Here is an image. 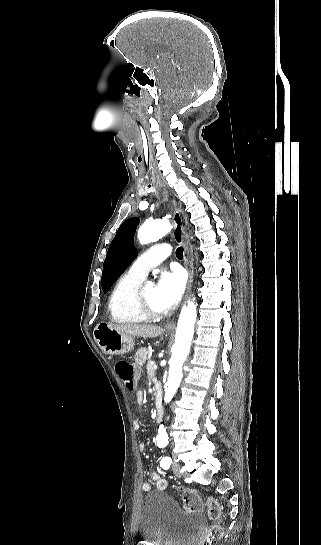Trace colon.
I'll return each instance as SVG.
<instances>
[{
	"mask_svg": "<svg viewBox=\"0 0 321 545\" xmlns=\"http://www.w3.org/2000/svg\"><path fill=\"white\" fill-rule=\"evenodd\" d=\"M115 371L120 379L123 381L125 387L128 390H132L134 388V370L132 365L125 360H120L115 364ZM181 491L183 503L188 510L195 512H199L202 510V502L195 491L188 489H182ZM207 513L211 520L215 522L221 520L222 510L220 504L216 499L210 498L207 501ZM220 532L221 529L219 526H213L203 545H215Z\"/></svg>",
	"mask_w": 321,
	"mask_h": 545,
	"instance_id": "5ec220e1",
	"label": "colon"
}]
</instances>
